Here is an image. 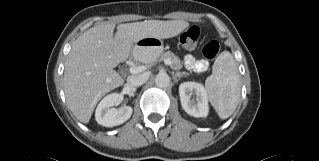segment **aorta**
<instances>
[{
  "label": "aorta",
  "instance_id": "1",
  "mask_svg": "<svg viewBox=\"0 0 319 161\" xmlns=\"http://www.w3.org/2000/svg\"><path fill=\"white\" fill-rule=\"evenodd\" d=\"M155 84L159 88H166L170 84V77L166 73H159L155 78Z\"/></svg>",
  "mask_w": 319,
  "mask_h": 161
}]
</instances>
